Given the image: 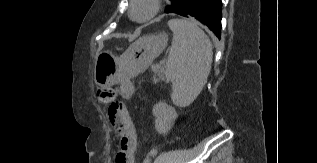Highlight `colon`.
<instances>
[{
	"label": "colon",
	"mask_w": 317,
	"mask_h": 163,
	"mask_svg": "<svg viewBox=\"0 0 317 163\" xmlns=\"http://www.w3.org/2000/svg\"><path fill=\"white\" fill-rule=\"evenodd\" d=\"M114 90L112 88H102L97 92V99L100 103H110L109 115L117 132H121L125 125L124 106L120 102H114Z\"/></svg>",
	"instance_id": "obj_1"
}]
</instances>
